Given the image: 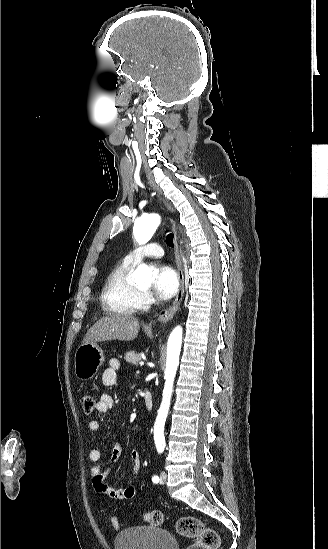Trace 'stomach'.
<instances>
[{
    "instance_id": "0dacf381",
    "label": "stomach",
    "mask_w": 328,
    "mask_h": 549,
    "mask_svg": "<svg viewBox=\"0 0 328 549\" xmlns=\"http://www.w3.org/2000/svg\"><path fill=\"white\" fill-rule=\"evenodd\" d=\"M104 363V355L97 343H83L78 347L74 359V371L80 381H89L95 377Z\"/></svg>"
}]
</instances>
